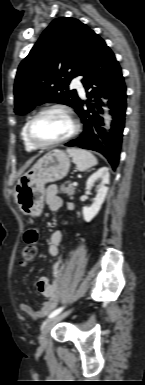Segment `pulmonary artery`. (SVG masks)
I'll return each instance as SVG.
<instances>
[{"label": "pulmonary artery", "mask_w": 145, "mask_h": 385, "mask_svg": "<svg viewBox=\"0 0 145 385\" xmlns=\"http://www.w3.org/2000/svg\"><path fill=\"white\" fill-rule=\"evenodd\" d=\"M71 87L75 88L81 96H84V88L78 78L72 80Z\"/></svg>", "instance_id": "1"}]
</instances>
